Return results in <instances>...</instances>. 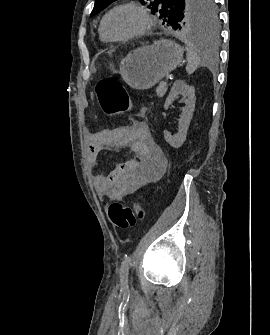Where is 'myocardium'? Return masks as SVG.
I'll use <instances>...</instances> for the list:
<instances>
[{"instance_id":"obj_1","label":"myocardium","mask_w":270,"mask_h":335,"mask_svg":"<svg viewBox=\"0 0 270 335\" xmlns=\"http://www.w3.org/2000/svg\"><path fill=\"white\" fill-rule=\"evenodd\" d=\"M122 7H132V8H135L136 10H138L141 13V15L143 16L145 23H144V26L136 32H133V33H130V34H127V35H124V36H120V37H115V36H112L107 29V20H108V17L110 16L111 13H113L114 11H116V10L122 8ZM153 24H154V19L143 4H141L139 2H134V1H126V2H122L118 5H116L115 7L110 9L104 15V17L102 18V21H101V30L103 31L105 36L110 40L126 41V40H131V39L138 38L140 36L145 35L146 33H148L152 29ZM140 51H141L140 49H136V50H133L132 52H140ZM126 78H129V77H126Z\"/></svg>"}]
</instances>
